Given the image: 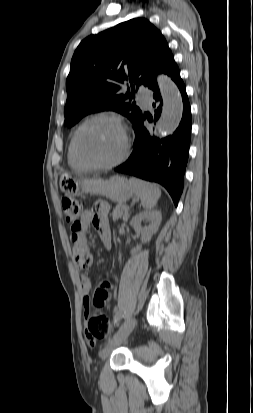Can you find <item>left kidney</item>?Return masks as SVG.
<instances>
[{
    "mask_svg": "<svg viewBox=\"0 0 253 413\" xmlns=\"http://www.w3.org/2000/svg\"><path fill=\"white\" fill-rule=\"evenodd\" d=\"M149 222L148 226L142 227V222ZM162 221V215L160 211H144L136 215L130 222V225L134 228L135 232L141 234L142 243H147L151 240L152 236L158 231ZM141 249V245L132 250L131 253H135Z\"/></svg>",
    "mask_w": 253,
    "mask_h": 413,
    "instance_id": "5707ae66",
    "label": "left kidney"
}]
</instances>
